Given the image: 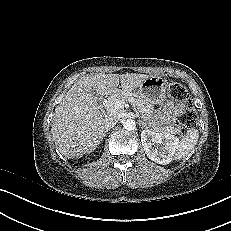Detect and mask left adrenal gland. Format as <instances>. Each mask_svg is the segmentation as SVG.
I'll list each match as a JSON object with an SVG mask.
<instances>
[{"label": "left adrenal gland", "mask_w": 231, "mask_h": 231, "mask_svg": "<svg viewBox=\"0 0 231 231\" xmlns=\"http://www.w3.org/2000/svg\"><path fill=\"white\" fill-rule=\"evenodd\" d=\"M140 124L142 125V129H143V128H145V130L148 129V128L146 127V125H145L144 122L140 121Z\"/></svg>", "instance_id": "a2214340"}]
</instances>
